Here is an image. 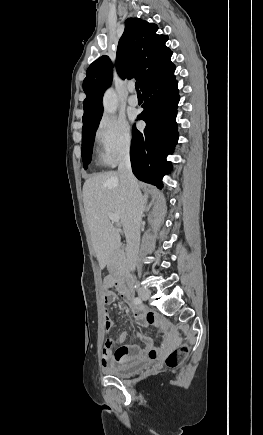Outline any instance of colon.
<instances>
[{"label": "colon", "instance_id": "obj_1", "mask_svg": "<svg viewBox=\"0 0 263 435\" xmlns=\"http://www.w3.org/2000/svg\"><path fill=\"white\" fill-rule=\"evenodd\" d=\"M104 300L110 298V295L105 292L103 295ZM104 350H113L114 348V340L110 336H107L106 340L103 343ZM188 352V346L184 345L179 349L171 351L165 358L166 366L170 368H174L178 366L186 357Z\"/></svg>", "mask_w": 263, "mask_h": 435}]
</instances>
